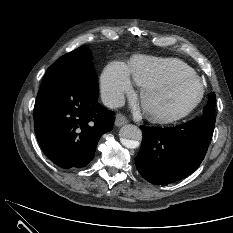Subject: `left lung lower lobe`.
Masks as SVG:
<instances>
[{
    "label": "left lung lower lobe",
    "instance_id": "left-lung-lower-lobe-1",
    "mask_svg": "<svg viewBox=\"0 0 233 233\" xmlns=\"http://www.w3.org/2000/svg\"><path fill=\"white\" fill-rule=\"evenodd\" d=\"M215 120L195 118L172 128L141 126L143 140L136 167L149 182L164 185L192 174L212 139Z\"/></svg>",
    "mask_w": 233,
    "mask_h": 233
}]
</instances>
